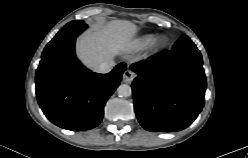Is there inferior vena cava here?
I'll use <instances>...</instances> for the list:
<instances>
[{
    "mask_svg": "<svg viewBox=\"0 0 248 158\" xmlns=\"http://www.w3.org/2000/svg\"><path fill=\"white\" fill-rule=\"evenodd\" d=\"M114 66V60H107L96 66V72L105 74L110 72Z\"/></svg>",
    "mask_w": 248,
    "mask_h": 158,
    "instance_id": "602c4592",
    "label": "inferior vena cava"
}]
</instances>
